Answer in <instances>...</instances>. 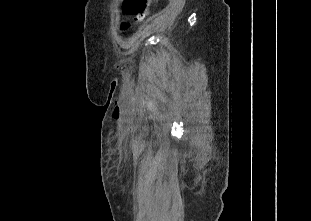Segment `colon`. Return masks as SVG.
<instances>
[{"instance_id": "5ec220e1", "label": "colon", "mask_w": 311, "mask_h": 221, "mask_svg": "<svg viewBox=\"0 0 311 221\" xmlns=\"http://www.w3.org/2000/svg\"><path fill=\"white\" fill-rule=\"evenodd\" d=\"M149 0H124L123 9L120 12L121 17H135L136 22H144L149 14L147 7Z\"/></svg>"}]
</instances>
